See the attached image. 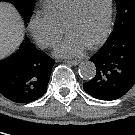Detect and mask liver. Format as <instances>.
<instances>
[{
	"label": "liver",
	"mask_w": 135,
	"mask_h": 135,
	"mask_svg": "<svg viewBox=\"0 0 135 135\" xmlns=\"http://www.w3.org/2000/svg\"><path fill=\"white\" fill-rule=\"evenodd\" d=\"M24 39V23L9 3L0 2V59L14 53Z\"/></svg>",
	"instance_id": "1"
}]
</instances>
